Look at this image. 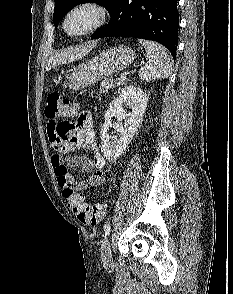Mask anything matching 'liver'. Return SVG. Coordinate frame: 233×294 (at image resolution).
Returning a JSON list of instances; mask_svg holds the SVG:
<instances>
[{
    "instance_id": "obj_1",
    "label": "liver",
    "mask_w": 233,
    "mask_h": 294,
    "mask_svg": "<svg viewBox=\"0 0 233 294\" xmlns=\"http://www.w3.org/2000/svg\"><path fill=\"white\" fill-rule=\"evenodd\" d=\"M93 47H94V44L87 45V46L84 45L81 47H76L71 50L63 51L59 54H56L49 59L46 70H49L52 67H55L56 65H59V64L70 63L77 59H80L86 54H88Z\"/></svg>"
}]
</instances>
